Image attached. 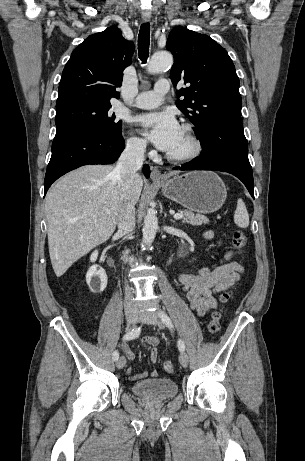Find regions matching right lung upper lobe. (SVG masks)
<instances>
[{"label": "right lung upper lobe", "mask_w": 305, "mask_h": 461, "mask_svg": "<svg viewBox=\"0 0 305 461\" xmlns=\"http://www.w3.org/2000/svg\"><path fill=\"white\" fill-rule=\"evenodd\" d=\"M134 44L116 26L86 38L65 65L57 107L79 102L110 103L119 98L124 69L131 64Z\"/></svg>", "instance_id": "cb5924a9"}]
</instances>
